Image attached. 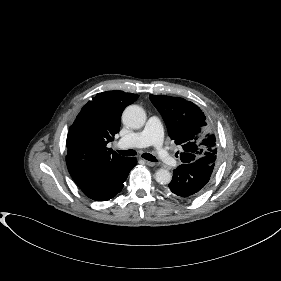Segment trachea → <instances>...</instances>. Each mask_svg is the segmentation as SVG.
<instances>
[{"mask_svg": "<svg viewBox=\"0 0 281 281\" xmlns=\"http://www.w3.org/2000/svg\"><path fill=\"white\" fill-rule=\"evenodd\" d=\"M117 152L123 156H134L136 155V151L135 150H132V149H129V150H117ZM142 157L148 161H152V162H157V159L149 154V153H144L142 154Z\"/></svg>", "mask_w": 281, "mask_h": 281, "instance_id": "trachea-1", "label": "trachea"}]
</instances>
